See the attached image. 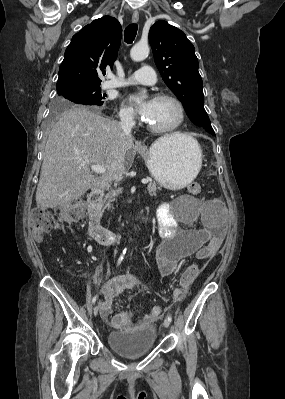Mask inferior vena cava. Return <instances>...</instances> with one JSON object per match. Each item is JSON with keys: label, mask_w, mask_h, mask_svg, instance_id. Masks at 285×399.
Segmentation results:
<instances>
[{"label": "inferior vena cava", "mask_w": 285, "mask_h": 399, "mask_svg": "<svg viewBox=\"0 0 285 399\" xmlns=\"http://www.w3.org/2000/svg\"><path fill=\"white\" fill-rule=\"evenodd\" d=\"M120 120H121L120 125L122 127L123 132L126 135H130L131 129L135 125L133 115L130 113H124L120 116Z\"/></svg>", "instance_id": "602c4592"}]
</instances>
